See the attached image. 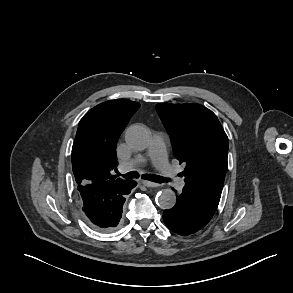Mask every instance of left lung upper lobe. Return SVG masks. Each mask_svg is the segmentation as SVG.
Returning <instances> with one entry per match:
<instances>
[{
	"instance_id": "1",
	"label": "left lung upper lobe",
	"mask_w": 293,
	"mask_h": 293,
	"mask_svg": "<svg viewBox=\"0 0 293 293\" xmlns=\"http://www.w3.org/2000/svg\"><path fill=\"white\" fill-rule=\"evenodd\" d=\"M156 110L185 166L184 189L218 207L228 167V137L218 118L199 104L160 103Z\"/></svg>"
}]
</instances>
